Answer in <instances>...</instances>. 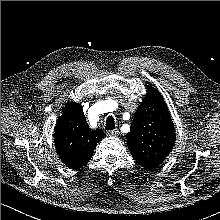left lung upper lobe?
I'll return each mask as SVG.
<instances>
[{
	"label": "left lung upper lobe",
	"mask_w": 220,
	"mask_h": 220,
	"mask_svg": "<svg viewBox=\"0 0 220 220\" xmlns=\"http://www.w3.org/2000/svg\"><path fill=\"white\" fill-rule=\"evenodd\" d=\"M138 107L131 130L126 135L133 158L147 169L158 167L172 150L175 130L167 105L155 88Z\"/></svg>",
	"instance_id": "1"
}]
</instances>
